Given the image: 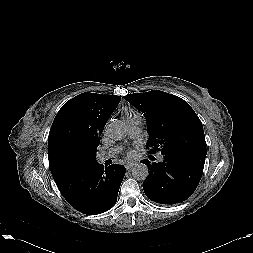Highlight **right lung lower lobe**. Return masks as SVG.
Segmentation results:
<instances>
[{
  "mask_svg": "<svg viewBox=\"0 0 253 253\" xmlns=\"http://www.w3.org/2000/svg\"><path fill=\"white\" fill-rule=\"evenodd\" d=\"M125 171L123 165L112 164L104 169L95 161L54 180L72 207L83 214L97 215L116 204Z\"/></svg>",
  "mask_w": 253,
  "mask_h": 253,
  "instance_id": "1",
  "label": "right lung lower lobe"
}]
</instances>
